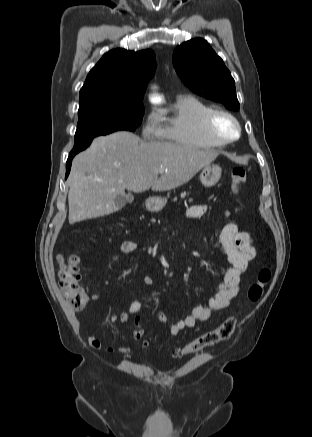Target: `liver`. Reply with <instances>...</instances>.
<instances>
[{
	"label": "liver",
	"mask_w": 312,
	"mask_h": 437,
	"mask_svg": "<svg viewBox=\"0 0 312 437\" xmlns=\"http://www.w3.org/2000/svg\"><path fill=\"white\" fill-rule=\"evenodd\" d=\"M218 155L190 145L145 142L124 131L97 137L72 161L67 180L69 223L114 212L116 198L124 197L126 189L141 193L177 188Z\"/></svg>",
	"instance_id": "1"
}]
</instances>
